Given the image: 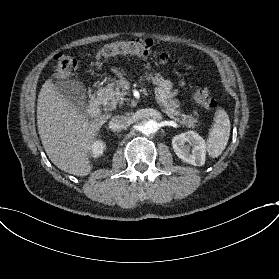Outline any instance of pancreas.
Instances as JSON below:
<instances>
[{"label": "pancreas", "instance_id": "1", "mask_svg": "<svg viewBox=\"0 0 279 279\" xmlns=\"http://www.w3.org/2000/svg\"><path fill=\"white\" fill-rule=\"evenodd\" d=\"M139 79L140 82L149 81L155 85L154 93L157 103L162 104V111L167 114L169 118L182 123L188 120L190 124H192V117L189 115H182L181 119L176 118V116L180 115V112L176 111L177 106L172 100L173 86L168 80H165L159 73L142 74ZM129 90L130 86L127 81L125 86L122 82L116 84L111 83L100 91L99 97L105 107L115 109L118 105L119 107L124 105L126 101L125 97Z\"/></svg>", "mask_w": 279, "mask_h": 279}]
</instances>
